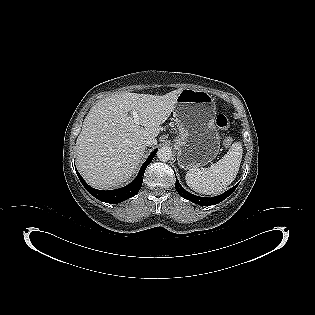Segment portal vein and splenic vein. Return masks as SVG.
<instances>
[{
  "mask_svg": "<svg viewBox=\"0 0 315 315\" xmlns=\"http://www.w3.org/2000/svg\"><path fill=\"white\" fill-rule=\"evenodd\" d=\"M132 116L134 118V122L138 124L139 123L138 113L136 111H132Z\"/></svg>",
  "mask_w": 315,
  "mask_h": 315,
  "instance_id": "portal-vein-and-splenic-vein-1",
  "label": "portal vein and splenic vein"
}]
</instances>
